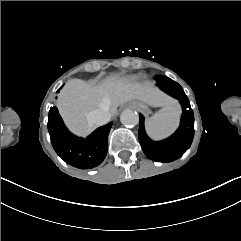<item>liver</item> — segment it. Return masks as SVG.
Masks as SVG:
<instances>
[{"mask_svg": "<svg viewBox=\"0 0 241 241\" xmlns=\"http://www.w3.org/2000/svg\"><path fill=\"white\" fill-rule=\"evenodd\" d=\"M138 100L153 108H169L177 111L174 101L153 89L151 85H128L124 78L111 75L100 86L71 79L60 91L57 107L68 126L79 135L85 136L93 125L89 124L87 114L104 105H109L114 114L118 106Z\"/></svg>", "mask_w": 241, "mask_h": 241, "instance_id": "liver-1", "label": "liver"}]
</instances>
